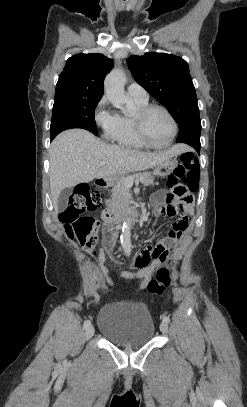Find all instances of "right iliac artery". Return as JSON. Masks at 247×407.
I'll list each match as a JSON object with an SVG mask.
<instances>
[{
  "label": "right iliac artery",
  "instance_id": "obj_1",
  "mask_svg": "<svg viewBox=\"0 0 247 407\" xmlns=\"http://www.w3.org/2000/svg\"><path fill=\"white\" fill-rule=\"evenodd\" d=\"M90 323H91L90 320H86V321L84 322V324H83L84 329L88 328L89 325H90Z\"/></svg>",
  "mask_w": 247,
  "mask_h": 407
}]
</instances>
